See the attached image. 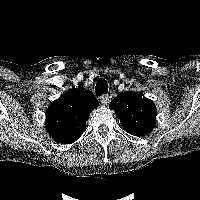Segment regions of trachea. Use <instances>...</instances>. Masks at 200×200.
<instances>
[{"instance_id": "obj_1", "label": "trachea", "mask_w": 200, "mask_h": 200, "mask_svg": "<svg viewBox=\"0 0 200 200\" xmlns=\"http://www.w3.org/2000/svg\"><path fill=\"white\" fill-rule=\"evenodd\" d=\"M96 94L98 96L102 95V94H106L108 92V83L105 79L100 78L97 83H96Z\"/></svg>"}]
</instances>
